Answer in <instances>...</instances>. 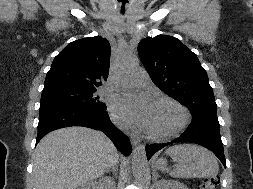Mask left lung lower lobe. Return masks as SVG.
<instances>
[{"mask_svg": "<svg viewBox=\"0 0 253 189\" xmlns=\"http://www.w3.org/2000/svg\"><path fill=\"white\" fill-rule=\"evenodd\" d=\"M219 122L209 120H192L191 124L181 136L172 142L163 144H151L146 146L147 159L162 149L163 147L176 142H191L200 144L210 149L226 167V161L223 152V144L219 133Z\"/></svg>", "mask_w": 253, "mask_h": 189, "instance_id": "0a47b994", "label": "left lung lower lobe"}]
</instances>
